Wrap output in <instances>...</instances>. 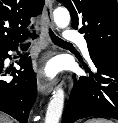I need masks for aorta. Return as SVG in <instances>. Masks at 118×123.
I'll return each instance as SVG.
<instances>
[{
	"instance_id": "aorta-1",
	"label": "aorta",
	"mask_w": 118,
	"mask_h": 123,
	"mask_svg": "<svg viewBox=\"0 0 118 123\" xmlns=\"http://www.w3.org/2000/svg\"><path fill=\"white\" fill-rule=\"evenodd\" d=\"M54 22L58 28H67L70 23V13L66 8L58 7L53 12ZM64 106V90L59 85L52 94L47 107L45 123H59Z\"/></svg>"
}]
</instances>
